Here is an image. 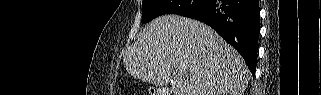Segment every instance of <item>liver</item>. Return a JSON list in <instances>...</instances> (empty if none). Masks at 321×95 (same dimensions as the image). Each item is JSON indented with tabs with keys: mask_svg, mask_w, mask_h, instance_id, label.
Returning <instances> with one entry per match:
<instances>
[{
	"mask_svg": "<svg viewBox=\"0 0 321 95\" xmlns=\"http://www.w3.org/2000/svg\"><path fill=\"white\" fill-rule=\"evenodd\" d=\"M122 56L135 78L159 86L173 80V95H242L251 77L212 28L177 15L154 19Z\"/></svg>",
	"mask_w": 321,
	"mask_h": 95,
	"instance_id": "1",
	"label": "liver"
}]
</instances>
